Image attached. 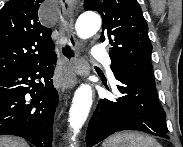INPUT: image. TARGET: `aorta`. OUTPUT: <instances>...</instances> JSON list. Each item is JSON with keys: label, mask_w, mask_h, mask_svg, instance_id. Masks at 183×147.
I'll list each match as a JSON object with an SVG mask.
<instances>
[{"label": "aorta", "mask_w": 183, "mask_h": 147, "mask_svg": "<svg viewBox=\"0 0 183 147\" xmlns=\"http://www.w3.org/2000/svg\"><path fill=\"white\" fill-rule=\"evenodd\" d=\"M100 27V16L92 12L81 14L75 25L77 35L82 39L93 36ZM91 105L92 88L89 84H81L74 94L72 106L69 111L70 128L74 132V136L71 138L73 141H75L76 134H78L86 121Z\"/></svg>", "instance_id": "762f6f07"}]
</instances>
